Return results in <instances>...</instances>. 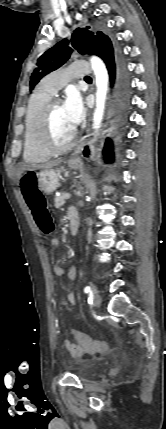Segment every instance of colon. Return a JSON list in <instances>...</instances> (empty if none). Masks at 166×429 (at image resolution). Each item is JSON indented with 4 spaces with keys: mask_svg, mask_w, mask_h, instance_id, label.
I'll return each mask as SVG.
<instances>
[{
    "mask_svg": "<svg viewBox=\"0 0 166 429\" xmlns=\"http://www.w3.org/2000/svg\"><path fill=\"white\" fill-rule=\"evenodd\" d=\"M21 191L39 229L46 235L50 234L54 229V224L47 208L46 199L38 188L37 175L33 170L27 171L22 176ZM71 333L77 344L88 352L103 353L109 349V345L105 341L91 339L74 329Z\"/></svg>",
    "mask_w": 166,
    "mask_h": 429,
    "instance_id": "obj_1",
    "label": "colon"
}]
</instances>
